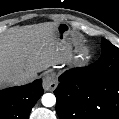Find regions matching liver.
Listing matches in <instances>:
<instances>
[{"mask_svg": "<svg viewBox=\"0 0 119 119\" xmlns=\"http://www.w3.org/2000/svg\"><path fill=\"white\" fill-rule=\"evenodd\" d=\"M57 25L54 22L31 25L0 37V88L14 84V79L22 74L33 80L38 72L61 62Z\"/></svg>", "mask_w": 119, "mask_h": 119, "instance_id": "obj_1", "label": "liver"}]
</instances>
